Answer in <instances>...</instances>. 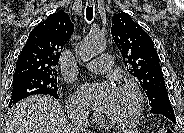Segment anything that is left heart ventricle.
I'll return each mask as SVG.
<instances>
[{"label":"left heart ventricle","instance_id":"b2bd125f","mask_svg":"<svg viewBox=\"0 0 184 133\" xmlns=\"http://www.w3.org/2000/svg\"><path fill=\"white\" fill-rule=\"evenodd\" d=\"M134 107V99L130 92L116 89L115 95L104 111L106 116L121 118L132 111Z\"/></svg>","mask_w":184,"mask_h":133}]
</instances>
